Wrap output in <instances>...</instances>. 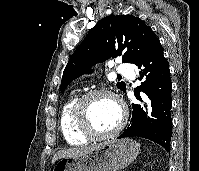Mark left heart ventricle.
<instances>
[{
  "label": "left heart ventricle",
  "mask_w": 199,
  "mask_h": 171,
  "mask_svg": "<svg viewBox=\"0 0 199 171\" xmlns=\"http://www.w3.org/2000/svg\"><path fill=\"white\" fill-rule=\"evenodd\" d=\"M89 117L95 131L104 133L114 129L121 117L118 104L107 96H99L90 101Z\"/></svg>",
  "instance_id": "b2bd125f"
}]
</instances>
